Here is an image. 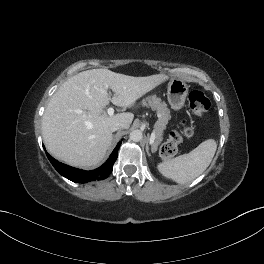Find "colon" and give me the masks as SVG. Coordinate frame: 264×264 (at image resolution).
I'll return each instance as SVG.
<instances>
[{
  "mask_svg": "<svg viewBox=\"0 0 264 264\" xmlns=\"http://www.w3.org/2000/svg\"><path fill=\"white\" fill-rule=\"evenodd\" d=\"M188 105L190 111L194 115L202 116L209 110L210 101L201 91L193 90L189 93ZM192 135V126L189 125L187 121H183L181 123V128L177 131H172L167 141L162 145L160 149L161 156L164 159L173 157L176 154L178 146L181 143L182 139L184 137H191Z\"/></svg>",
  "mask_w": 264,
  "mask_h": 264,
  "instance_id": "5ec220e1",
  "label": "colon"
}]
</instances>
